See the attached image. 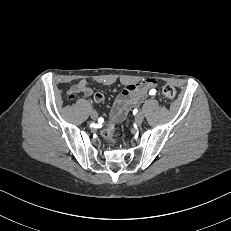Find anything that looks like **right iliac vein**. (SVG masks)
Masks as SVG:
<instances>
[{"instance_id":"1","label":"right iliac vein","mask_w":231,"mask_h":231,"mask_svg":"<svg viewBox=\"0 0 231 231\" xmlns=\"http://www.w3.org/2000/svg\"><path fill=\"white\" fill-rule=\"evenodd\" d=\"M90 117H91V119L92 120H97V118H98V114H97V112L95 111V110H92L91 112H90Z\"/></svg>"}]
</instances>
